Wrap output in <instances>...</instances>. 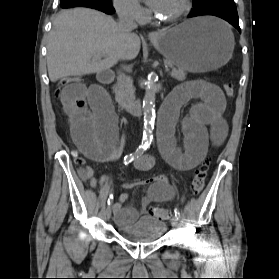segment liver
Here are the masks:
<instances>
[{
	"mask_svg": "<svg viewBox=\"0 0 279 279\" xmlns=\"http://www.w3.org/2000/svg\"><path fill=\"white\" fill-rule=\"evenodd\" d=\"M190 22L186 21L183 24ZM140 38L124 40L114 19L100 11L75 8L61 11L53 21L47 45V68L52 82L68 77L101 73L119 59L137 57ZM103 57V59H102Z\"/></svg>",
	"mask_w": 279,
	"mask_h": 279,
	"instance_id": "1",
	"label": "liver"
}]
</instances>
